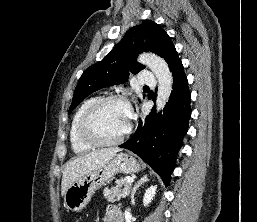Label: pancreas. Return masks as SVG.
Segmentation results:
<instances>
[{"mask_svg":"<svg viewBox=\"0 0 257 222\" xmlns=\"http://www.w3.org/2000/svg\"><path fill=\"white\" fill-rule=\"evenodd\" d=\"M130 187L131 184L126 179H120L115 187L104 189L103 195L108 201H119L121 197L124 198L129 194Z\"/></svg>","mask_w":257,"mask_h":222,"instance_id":"pancreas-1","label":"pancreas"}]
</instances>
